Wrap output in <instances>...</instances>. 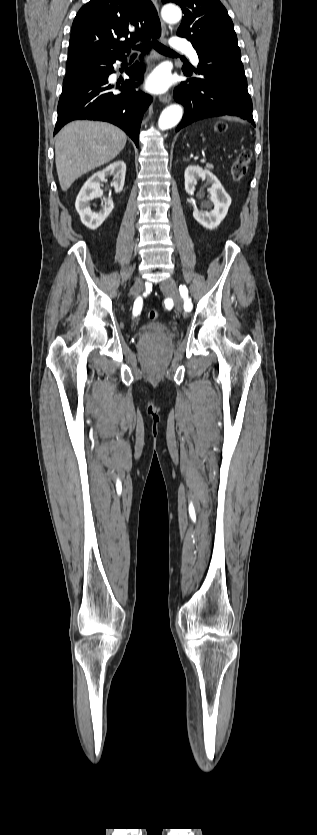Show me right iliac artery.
Masks as SVG:
<instances>
[{
	"label": "right iliac artery",
	"instance_id": "right-iliac-artery-1",
	"mask_svg": "<svg viewBox=\"0 0 317 835\" xmlns=\"http://www.w3.org/2000/svg\"><path fill=\"white\" fill-rule=\"evenodd\" d=\"M141 309H142V298L138 297L136 299V301L134 302V307H133L134 316H137L141 312Z\"/></svg>",
	"mask_w": 317,
	"mask_h": 835
}]
</instances>
